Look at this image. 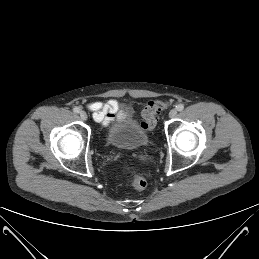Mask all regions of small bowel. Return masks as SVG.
I'll list each match as a JSON object with an SVG mask.
<instances>
[{
    "mask_svg": "<svg viewBox=\"0 0 259 259\" xmlns=\"http://www.w3.org/2000/svg\"><path fill=\"white\" fill-rule=\"evenodd\" d=\"M87 108L93 113L94 120L105 126L116 117L119 119L124 115L122 112H119L120 104L114 99L108 100L105 103L94 101L89 103Z\"/></svg>",
    "mask_w": 259,
    "mask_h": 259,
    "instance_id": "small-bowel-1",
    "label": "small bowel"
}]
</instances>
